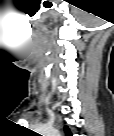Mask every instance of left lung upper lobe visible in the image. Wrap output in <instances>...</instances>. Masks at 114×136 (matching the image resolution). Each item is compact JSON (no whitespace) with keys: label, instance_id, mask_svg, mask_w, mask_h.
<instances>
[{"label":"left lung upper lobe","instance_id":"obj_1","mask_svg":"<svg viewBox=\"0 0 114 136\" xmlns=\"http://www.w3.org/2000/svg\"><path fill=\"white\" fill-rule=\"evenodd\" d=\"M65 132H66L67 135H69V136L71 135V133H70L68 127H65Z\"/></svg>","mask_w":114,"mask_h":136}]
</instances>
